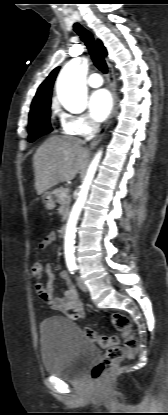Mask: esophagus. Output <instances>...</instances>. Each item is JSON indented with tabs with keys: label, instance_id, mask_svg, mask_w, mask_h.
Returning <instances> with one entry per match:
<instances>
[{
	"label": "esophagus",
	"instance_id": "34e87169",
	"mask_svg": "<svg viewBox=\"0 0 168 415\" xmlns=\"http://www.w3.org/2000/svg\"><path fill=\"white\" fill-rule=\"evenodd\" d=\"M109 84L112 92L113 97V108L111 111L110 116L102 126L100 132L96 135V137L93 139V141L90 143V149H93L103 138L107 128L111 124L112 118L114 117V114L116 112V105H117V93H116V80H115V74L113 67L109 64Z\"/></svg>",
	"mask_w": 168,
	"mask_h": 415
}]
</instances>
